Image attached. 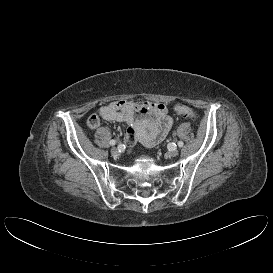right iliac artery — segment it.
Segmentation results:
<instances>
[{"label": "right iliac artery", "mask_w": 273, "mask_h": 273, "mask_svg": "<svg viewBox=\"0 0 273 273\" xmlns=\"http://www.w3.org/2000/svg\"><path fill=\"white\" fill-rule=\"evenodd\" d=\"M109 143H110V145H112V146H113V145H115V144H116V141H115V140H111Z\"/></svg>", "instance_id": "82829eb1"}]
</instances>
